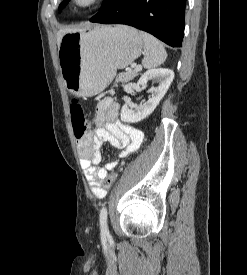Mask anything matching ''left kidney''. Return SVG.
<instances>
[{
    "mask_svg": "<svg viewBox=\"0 0 247 275\" xmlns=\"http://www.w3.org/2000/svg\"><path fill=\"white\" fill-rule=\"evenodd\" d=\"M174 79V72L167 68H157L146 71L139 81L138 86L146 87L149 81L157 83L151 88L152 96L143 105L135 106L132 103L124 104L121 109V121L125 123H137L148 117L160 103Z\"/></svg>",
    "mask_w": 247,
    "mask_h": 275,
    "instance_id": "1",
    "label": "left kidney"
}]
</instances>
